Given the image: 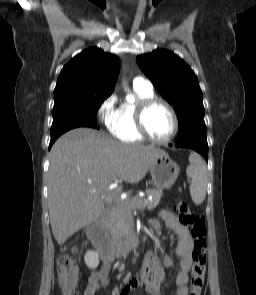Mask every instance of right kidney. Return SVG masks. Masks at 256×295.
I'll list each match as a JSON object with an SVG mask.
<instances>
[{"label": "right kidney", "instance_id": "ca27d5eb", "mask_svg": "<svg viewBox=\"0 0 256 295\" xmlns=\"http://www.w3.org/2000/svg\"><path fill=\"white\" fill-rule=\"evenodd\" d=\"M85 264L90 269H95L99 265V255L95 251H87L84 257Z\"/></svg>", "mask_w": 256, "mask_h": 295}]
</instances>
